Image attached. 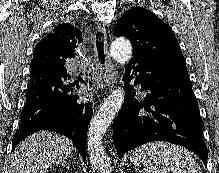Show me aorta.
<instances>
[{
    "instance_id": "obj_1",
    "label": "aorta",
    "mask_w": 219,
    "mask_h": 173,
    "mask_svg": "<svg viewBox=\"0 0 219 173\" xmlns=\"http://www.w3.org/2000/svg\"><path fill=\"white\" fill-rule=\"evenodd\" d=\"M113 59L124 65L132 58V46L129 40L120 37L116 39L110 48ZM124 102V90H114L100 106L90 121L86 148L91 165L97 173H111L110 159L102 145V138L111 122L119 113Z\"/></svg>"
}]
</instances>
